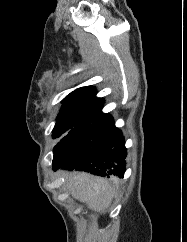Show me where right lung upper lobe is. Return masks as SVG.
Instances as JSON below:
<instances>
[{
    "label": "right lung upper lobe",
    "instance_id": "right-lung-upper-lobe-1",
    "mask_svg": "<svg viewBox=\"0 0 187 242\" xmlns=\"http://www.w3.org/2000/svg\"><path fill=\"white\" fill-rule=\"evenodd\" d=\"M95 92L96 90L93 86L78 88L63 99L62 107L91 106L102 108L104 100L102 98H97Z\"/></svg>",
    "mask_w": 187,
    "mask_h": 242
}]
</instances>
